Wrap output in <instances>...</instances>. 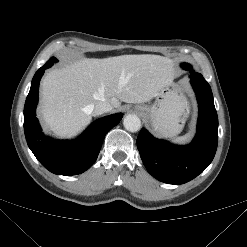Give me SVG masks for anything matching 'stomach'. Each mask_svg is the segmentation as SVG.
<instances>
[{
    "instance_id": "1",
    "label": "stomach",
    "mask_w": 247,
    "mask_h": 247,
    "mask_svg": "<svg viewBox=\"0 0 247 247\" xmlns=\"http://www.w3.org/2000/svg\"><path fill=\"white\" fill-rule=\"evenodd\" d=\"M168 85L161 90L153 105H136L135 109L142 112L153 129L162 136L174 137L178 135L183 127L189 113L188 106L183 96Z\"/></svg>"
}]
</instances>
